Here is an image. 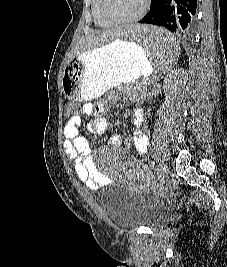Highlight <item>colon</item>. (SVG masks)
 Returning a JSON list of instances; mask_svg holds the SVG:
<instances>
[{
    "label": "colon",
    "mask_w": 227,
    "mask_h": 267,
    "mask_svg": "<svg viewBox=\"0 0 227 267\" xmlns=\"http://www.w3.org/2000/svg\"><path fill=\"white\" fill-rule=\"evenodd\" d=\"M76 110H80V105H68L67 111L64 112V115L65 116H77L78 112Z\"/></svg>",
    "instance_id": "obj_1"
}]
</instances>
